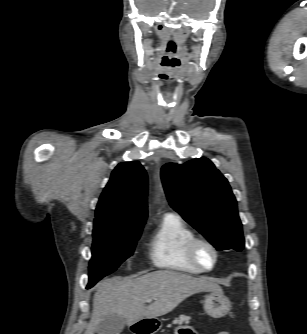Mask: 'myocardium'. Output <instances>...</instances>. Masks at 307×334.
<instances>
[{"label":"myocardium","mask_w":307,"mask_h":334,"mask_svg":"<svg viewBox=\"0 0 307 334\" xmlns=\"http://www.w3.org/2000/svg\"><path fill=\"white\" fill-rule=\"evenodd\" d=\"M200 245H204L208 247L213 253L214 261L211 267H205L199 261L198 256H197V248ZM185 252H186V256L188 260L203 272H208V271H212L213 269H215L219 261L218 249L211 241L203 237H199V236L191 237L186 243Z\"/></svg>","instance_id":"myocardium-1"}]
</instances>
